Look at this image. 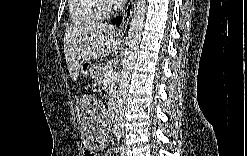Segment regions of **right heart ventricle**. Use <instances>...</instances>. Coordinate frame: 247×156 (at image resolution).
Here are the masks:
<instances>
[{"instance_id": "1", "label": "right heart ventricle", "mask_w": 247, "mask_h": 156, "mask_svg": "<svg viewBox=\"0 0 247 156\" xmlns=\"http://www.w3.org/2000/svg\"><path fill=\"white\" fill-rule=\"evenodd\" d=\"M100 1L73 0L70 2L69 13L75 24H91L101 19L99 10Z\"/></svg>"}]
</instances>
